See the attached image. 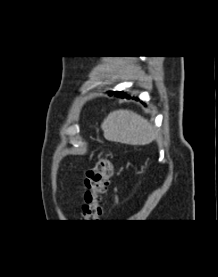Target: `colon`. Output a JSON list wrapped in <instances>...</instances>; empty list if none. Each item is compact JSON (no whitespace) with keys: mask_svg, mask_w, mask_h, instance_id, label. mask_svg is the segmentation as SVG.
Listing matches in <instances>:
<instances>
[{"mask_svg":"<svg viewBox=\"0 0 218 277\" xmlns=\"http://www.w3.org/2000/svg\"><path fill=\"white\" fill-rule=\"evenodd\" d=\"M113 173L110 158L100 157L85 172V192L82 217L85 222H95L101 216L103 196L107 192Z\"/></svg>","mask_w":218,"mask_h":277,"instance_id":"obj_1","label":"colon"}]
</instances>
